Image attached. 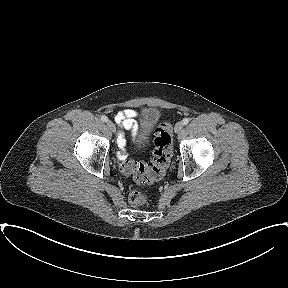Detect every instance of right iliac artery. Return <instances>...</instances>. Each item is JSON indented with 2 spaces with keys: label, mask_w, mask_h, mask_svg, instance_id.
I'll use <instances>...</instances> for the list:
<instances>
[{
  "label": "right iliac artery",
  "mask_w": 288,
  "mask_h": 288,
  "mask_svg": "<svg viewBox=\"0 0 288 288\" xmlns=\"http://www.w3.org/2000/svg\"><path fill=\"white\" fill-rule=\"evenodd\" d=\"M101 120H102L103 122H107V121H108V118H107V116L102 115V116H101Z\"/></svg>",
  "instance_id": "obj_1"
}]
</instances>
